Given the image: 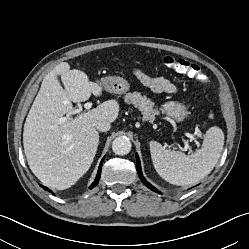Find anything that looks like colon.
<instances>
[{
  "label": "colon",
  "instance_id": "obj_1",
  "mask_svg": "<svg viewBox=\"0 0 249 249\" xmlns=\"http://www.w3.org/2000/svg\"><path fill=\"white\" fill-rule=\"evenodd\" d=\"M162 61L164 66L174 69L178 73L185 74L196 81L205 82L207 79L200 66L186 59L167 55L163 57Z\"/></svg>",
  "mask_w": 249,
  "mask_h": 249
}]
</instances>
